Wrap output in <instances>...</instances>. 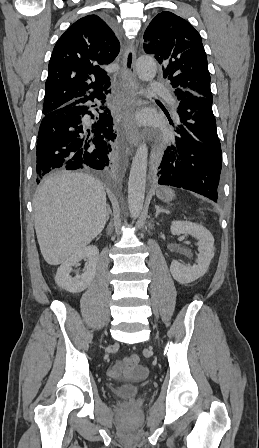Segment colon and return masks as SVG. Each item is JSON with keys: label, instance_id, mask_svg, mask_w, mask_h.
Segmentation results:
<instances>
[{"label": "colon", "instance_id": "colon-1", "mask_svg": "<svg viewBox=\"0 0 259 448\" xmlns=\"http://www.w3.org/2000/svg\"><path fill=\"white\" fill-rule=\"evenodd\" d=\"M128 360L132 366H137L140 363V357L137 354L130 355Z\"/></svg>", "mask_w": 259, "mask_h": 448}]
</instances>
